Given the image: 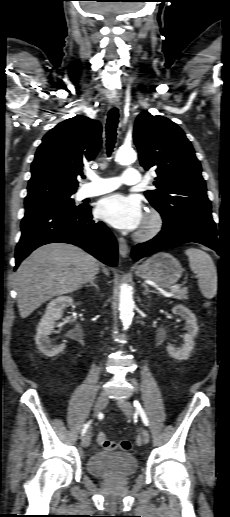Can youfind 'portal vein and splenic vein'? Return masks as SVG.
Returning <instances> with one entry per match:
<instances>
[{
  "label": "portal vein and splenic vein",
  "mask_w": 230,
  "mask_h": 517,
  "mask_svg": "<svg viewBox=\"0 0 230 517\" xmlns=\"http://www.w3.org/2000/svg\"><path fill=\"white\" fill-rule=\"evenodd\" d=\"M180 289V285H175L171 291L169 293H166L165 296H171L173 293H175L176 291H178Z\"/></svg>",
  "instance_id": "portal-vein-and-splenic-vein-1"
}]
</instances>
